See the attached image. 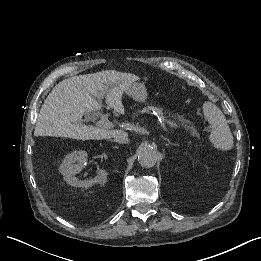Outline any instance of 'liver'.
I'll list each match as a JSON object with an SVG mask.
<instances>
[{
	"label": "liver",
	"instance_id": "1",
	"mask_svg": "<svg viewBox=\"0 0 261 261\" xmlns=\"http://www.w3.org/2000/svg\"><path fill=\"white\" fill-rule=\"evenodd\" d=\"M139 77L131 73L102 71L73 76L59 82L44 101L36 122L34 136L66 137L77 140L114 138L119 131L83 124L82 117L100 110L99 100L124 114L121 98Z\"/></svg>",
	"mask_w": 261,
	"mask_h": 261
}]
</instances>
